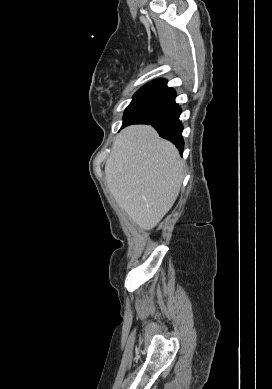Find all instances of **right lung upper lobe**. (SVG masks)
<instances>
[{"instance_id":"obj_1","label":"right lung upper lobe","mask_w":272,"mask_h":389,"mask_svg":"<svg viewBox=\"0 0 272 389\" xmlns=\"http://www.w3.org/2000/svg\"><path fill=\"white\" fill-rule=\"evenodd\" d=\"M147 84L157 85V86H160V87H166L167 81L164 80V79H156V80H154L152 82H149Z\"/></svg>"}]
</instances>
